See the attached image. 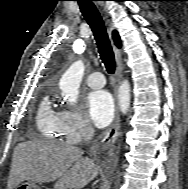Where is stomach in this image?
<instances>
[{
    "label": "stomach",
    "mask_w": 188,
    "mask_h": 189,
    "mask_svg": "<svg viewBox=\"0 0 188 189\" xmlns=\"http://www.w3.org/2000/svg\"><path fill=\"white\" fill-rule=\"evenodd\" d=\"M15 189H40V188L35 182L29 181L18 185Z\"/></svg>",
    "instance_id": "0dacf381"
}]
</instances>
